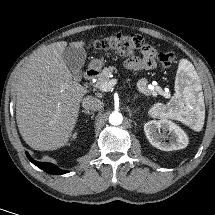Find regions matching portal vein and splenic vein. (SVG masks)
I'll list each match as a JSON object with an SVG mask.
<instances>
[{
  "instance_id": "1",
  "label": "portal vein and splenic vein",
  "mask_w": 215,
  "mask_h": 215,
  "mask_svg": "<svg viewBox=\"0 0 215 215\" xmlns=\"http://www.w3.org/2000/svg\"><path fill=\"white\" fill-rule=\"evenodd\" d=\"M117 84V79H111L108 82H104L100 85L99 89L101 91L107 92L109 91L113 86Z\"/></svg>"
}]
</instances>
